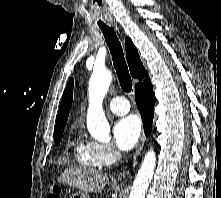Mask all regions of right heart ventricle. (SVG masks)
Returning a JSON list of instances; mask_svg holds the SVG:
<instances>
[{
	"mask_svg": "<svg viewBox=\"0 0 221 198\" xmlns=\"http://www.w3.org/2000/svg\"><path fill=\"white\" fill-rule=\"evenodd\" d=\"M73 155L76 162L84 168L92 169L98 167L92 142H85L77 137L73 143Z\"/></svg>",
	"mask_w": 221,
	"mask_h": 198,
	"instance_id": "e07e8e85",
	"label": "right heart ventricle"
}]
</instances>
